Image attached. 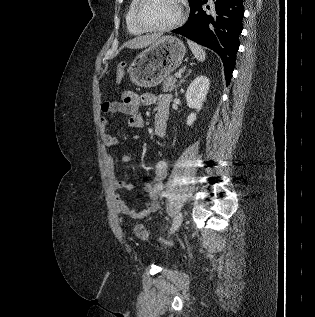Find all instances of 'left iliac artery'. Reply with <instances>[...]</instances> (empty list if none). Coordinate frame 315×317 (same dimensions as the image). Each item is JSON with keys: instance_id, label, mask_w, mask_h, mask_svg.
Wrapping results in <instances>:
<instances>
[{"instance_id": "left-iliac-artery-1", "label": "left iliac artery", "mask_w": 315, "mask_h": 317, "mask_svg": "<svg viewBox=\"0 0 315 317\" xmlns=\"http://www.w3.org/2000/svg\"><path fill=\"white\" fill-rule=\"evenodd\" d=\"M162 196H163V197H167V196H168V192H164V193L162 194Z\"/></svg>"}]
</instances>
